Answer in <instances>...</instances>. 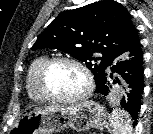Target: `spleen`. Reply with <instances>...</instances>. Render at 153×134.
Instances as JSON below:
<instances>
[{
  "mask_svg": "<svg viewBox=\"0 0 153 134\" xmlns=\"http://www.w3.org/2000/svg\"><path fill=\"white\" fill-rule=\"evenodd\" d=\"M113 134H132L129 114L124 110H116L110 118Z\"/></svg>",
  "mask_w": 153,
  "mask_h": 134,
  "instance_id": "obj_1",
  "label": "spleen"
}]
</instances>
